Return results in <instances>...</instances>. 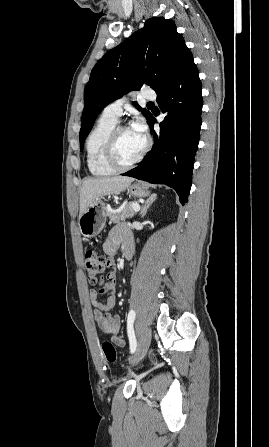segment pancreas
<instances>
[{"instance_id": "cf45deb5", "label": "pancreas", "mask_w": 269, "mask_h": 447, "mask_svg": "<svg viewBox=\"0 0 269 447\" xmlns=\"http://www.w3.org/2000/svg\"><path fill=\"white\" fill-rule=\"evenodd\" d=\"M131 204H136V202H128L125 204L123 210L121 212H116V214H112V212H107V216H109L110 222H120V220H126V218H133L135 212L133 208H131ZM112 210H118V208H112Z\"/></svg>"}]
</instances>
